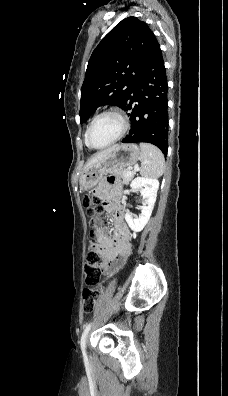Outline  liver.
<instances>
[{
    "instance_id": "obj_1",
    "label": "liver",
    "mask_w": 228,
    "mask_h": 396,
    "mask_svg": "<svg viewBox=\"0 0 228 396\" xmlns=\"http://www.w3.org/2000/svg\"><path fill=\"white\" fill-rule=\"evenodd\" d=\"M116 147H117V145H114V146H112V147H109V148H107V149H105V150H103V151H100V152L96 153L92 158H90V159L87 161L84 170H85L86 168L91 167L93 164L97 163L98 161L102 160L103 158H105V157H106L107 155H109Z\"/></svg>"
}]
</instances>
